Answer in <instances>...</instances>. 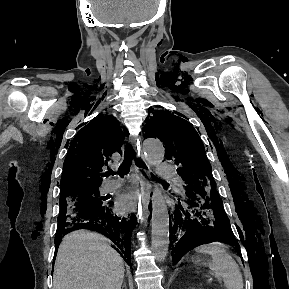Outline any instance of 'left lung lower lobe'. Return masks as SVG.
<instances>
[{"label":"left lung lower lobe","mask_w":289,"mask_h":289,"mask_svg":"<svg viewBox=\"0 0 289 289\" xmlns=\"http://www.w3.org/2000/svg\"><path fill=\"white\" fill-rule=\"evenodd\" d=\"M169 217L173 265L195 248V240L200 238L215 237L239 246L214 187L183 188Z\"/></svg>","instance_id":"left-lung-lower-lobe-1"}]
</instances>
